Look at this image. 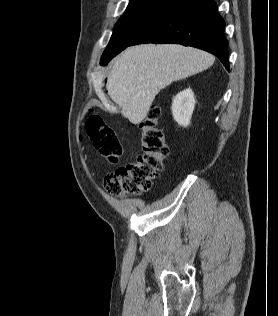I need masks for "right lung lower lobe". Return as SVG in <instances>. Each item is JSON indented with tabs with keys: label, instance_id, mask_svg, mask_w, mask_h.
<instances>
[{
	"label": "right lung lower lobe",
	"instance_id": "98d812e1",
	"mask_svg": "<svg viewBox=\"0 0 278 316\" xmlns=\"http://www.w3.org/2000/svg\"><path fill=\"white\" fill-rule=\"evenodd\" d=\"M224 29L225 22L213 0H169L157 18L129 46L142 43L192 46L217 56L229 71Z\"/></svg>",
	"mask_w": 278,
	"mask_h": 316
}]
</instances>
